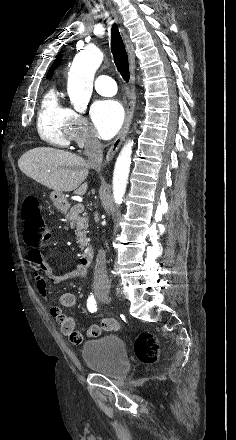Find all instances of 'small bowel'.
Listing matches in <instances>:
<instances>
[{
    "mask_svg": "<svg viewBox=\"0 0 236 440\" xmlns=\"http://www.w3.org/2000/svg\"><path fill=\"white\" fill-rule=\"evenodd\" d=\"M27 254L32 273L36 279L37 289L43 297H47L49 284L59 285L68 280L82 279L86 276V270L82 266H77L74 270L65 274H55L38 248H29ZM75 302L76 297L71 292H65L59 298V304L62 307H72ZM60 306H51L50 315L58 323L61 333L68 337L73 345L81 344L83 341L82 333L76 330L73 317L63 313ZM117 327L118 322L115 319L108 318L100 321V324H91L88 335L97 337L100 333H115Z\"/></svg>",
    "mask_w": 236,
    "mask_h": 440,
    "instance_id": "small-bowel-1",
    "label": "small bowel"
}]
</instances>
